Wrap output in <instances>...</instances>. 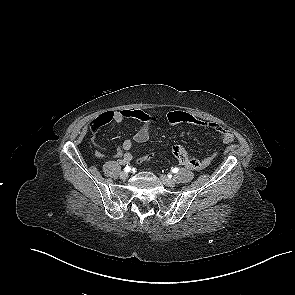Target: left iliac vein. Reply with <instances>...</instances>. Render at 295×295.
Wrapping results in <instances>:
<instances>
[{"instance_id":"obj_1","label":"left iliac vein","mask_w":295,"mask_h":295,"mask_svg":"<svg viewBox=\"0 0 295 295\" xmlns=\"http://www.w3.org/2000/svg\"><path fill=\"white\" fill-rule=\"evenodd\" d=\"M161 181L163 182V184H165L166 186L169 187H174L176 185L175 181L172 179H169L167 176L165 175H161L160 176Z\"/></svg>"}]
</instances>
